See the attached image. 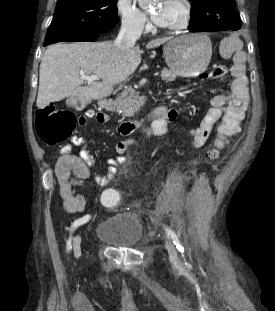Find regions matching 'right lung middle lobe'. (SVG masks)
Here are the masks:
<instances>
[{
	"label": "right lung middle lobe",
	"instance_id": "right-lung-middle-lobe-1",
	"mask_svg": "<svg viewBox=\"0 0 275 311\" xmlns=\"http://www.w3.org/2000/svg\"><path fill=\"white\" fill-rule=\"evenodd\" d=\"M118 0H58L45 42L62 41L84 32L105 33L117 21Z\"/></svg>",
	"mask_w": 275,
	"mask_h": 311
}]
</instances>
